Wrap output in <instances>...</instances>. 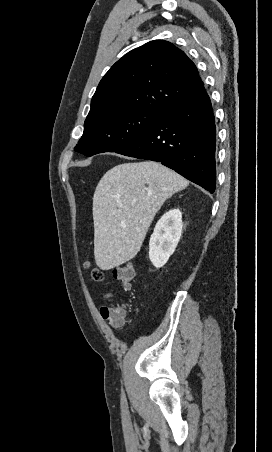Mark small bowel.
I'll list each match as a JSON object with an SVG mask.
<instances>
[{
	"mask_svg": "<svg viewBox=\"0 0 272 452\" xmlns=\"http://www.w3.org/2000/svg\"><path fill=\"white\" fill-rule=\"evenodd\" d=\"M108 308H110V306H108V305H104L101 307V309H100L101 316L105 320H108L110 325L113 328H116V329L121 328L125 324V321H126V312H124L122 314H118L113 309L110 310V312H109Z\"/></svg>",
	"mask_w": 272,
	"mask_h": 452,
	"instance_id": "1",
	"label": "small bowel"
}]
</instances>
